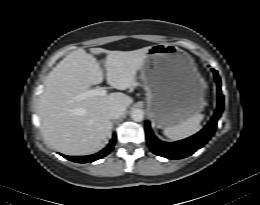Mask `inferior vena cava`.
<instances>
[{"instance_id":"inferior-vena-cava-1","label":"inferior vena cava","mask_w":260,"mask_h":205,"mask_svg":"<svg viewBox=\"0 0 260 205\" xmlns=\"http://www.w3.org/2000/svg\"><path fill=\"white\" fill-rule=\"evenodd\" d=\"M125 110L126 108L124 106L121 105L113 106L109 109L108 116L110 119H118L123 115Z\"/></svg>"}]
</instances>
